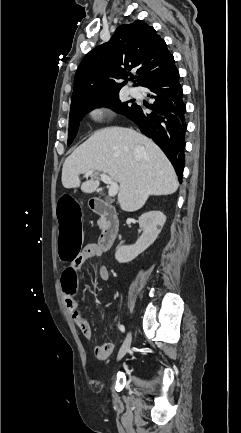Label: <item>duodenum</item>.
Wrapping results in <instances>:
<instances>
[{"mask_svg": "<svg viewBox=\"0 0 241 433\" xmlns=\"http://www.w3.org/2000/svg\"><path fill=\"white\" fill-rule=\"evenodd\" d=\"M91 210L101 216L102 229L98 241L99 248L108 251L114 244L119 231V218L116 210L103 199L93 197L89 200Z\"/></svg>", "mask_w": 241, "mask_h": 433, "instance_id": "1", "label": "duodenum"}]
</instances>
